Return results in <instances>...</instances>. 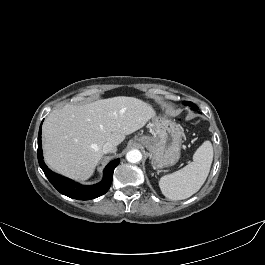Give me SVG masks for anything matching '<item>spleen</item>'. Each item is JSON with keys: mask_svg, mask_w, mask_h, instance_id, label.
<instances>
[{"mask_svg": "<svg viewBox=\"0 0 265 265\" xmlns=\"http://www.w3.org/2000/svg\"><path fill=\"white\" fill-rule=\"evenodd\" d=\"M212 161V144L205 141L194 153L192 162L160 179L159 187L163 195L171 200H183L198 192L206 181Z\"/></svg>", "mask_w": 265, "mask_h": 265, "instance_id": "3e777b00", "label": "spleen"}]
</instances>
